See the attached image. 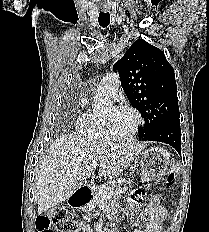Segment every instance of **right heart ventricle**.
<instances>
[{"label":"right heart ventricle","mask_w":209,"mask_h":232,"mask_svg":"<svg viewBox=\"0 0 209 232\" xmlns=\"http://www.w3.org/2000/svg\"><path fill=\"white\" fill-rule=\"evenodd\" d=\"M102 96H106L100 93ZM77 131L80 136L90 141H105L106 137L102 128V113L89 109L79 118Z\"/></svg>","instance_id":"e07e8e85"}]
</instances>
